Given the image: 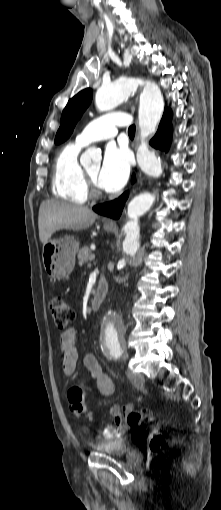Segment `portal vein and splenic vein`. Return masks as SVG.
Returning <instances> with one entry per match:
<instances>
[{
  "label": "portal vein and splenic vein",
  "instance_id": "obj_1",
  "mask_svg": "<svg viewBox=\"0 0 221 510\" xmlns=\"http://www.w3.org/2000/svg\"><path fill=\"white\" fill-rule=\"evenodd\" d=\"M94 259H95V255H94V254H92V255L89 257V260H90V261H92V260H94Z\"/></svg>",
  "mask_w": 221,
  "mask_h": 510
}]
</instances>
